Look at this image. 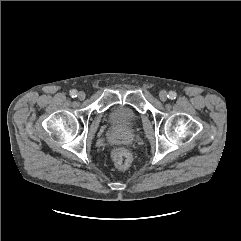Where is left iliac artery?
Returning a JSON list of instances; mask_svg holds the SVG:
<instances>
[{"label": "left iliac artery", "instance_id": "1", "mask_svg": "<svg viewBox=\"0 0 241 241\" xmlns=\"http://www.w3.org/2000/svg\"><path fill=\"white\" fill-rule=\"evenodd\" d=\"M176 96H177V94H176V92H174V91H170V92L168 93V95H167V97H168L169 99H171V100L175 99Z\"/></svg>", "mask_w": 241, "mask_h": 241}]
</instances>
